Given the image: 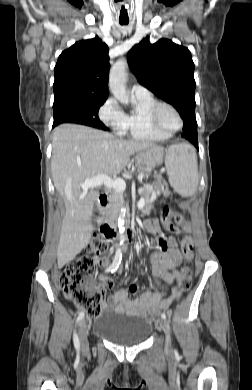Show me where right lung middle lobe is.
Wrapping results in <instances>:
<instances>
[{
  "label": "right lung middle lobe",
  "mask_w": 252,
  "mask_h": 390,
  "mask_svg": "<svg viewBox=\"0 0 252 390\" xmlns=\"http://www.w3.org/2000/svg\"><path fill=\"white\" fill-rule=\"evenodd\" d=\"M105 100L66 99L53 104V127L61 123H78L103 130L106 126L100 121L98 111Z\"/></svg>",
  "instance_id": "dd1d6c3e"
}]
</instances>
